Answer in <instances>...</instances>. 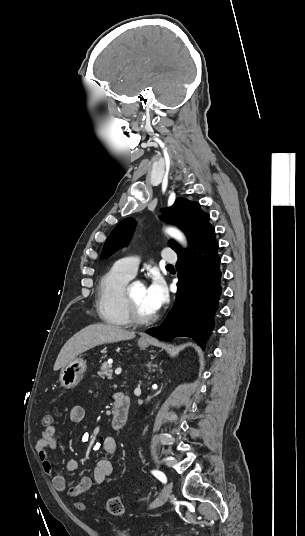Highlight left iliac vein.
Instances as JSON below:
<instances>
[{"label": "left iliac vein", "mask_w": 305, "mask_h": 536, "mask_svg": "<svg viewBox=\"0 0 305 536\" xmlns=\"http://www.w3.org/2000/svg\"><path fill=\"white\" fill-rule=\"evenodd\" d=\"M172 497V485L170 484H167L165 489H164V492H163V496L162 498L160 499H157L154 503H152L150 506L151 507H155V506H159V505H162L164 500H167L169 498Z\"/></svg>", "instance_id": "4c4485c4"}]
</instances>
